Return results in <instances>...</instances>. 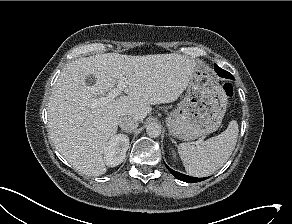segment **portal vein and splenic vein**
I'll return each mask as SVG.
<instances>
[{
  "mask_svg": "<svg viewBox=\"0 0 292 224\" xmlns=\"http://www.w3.org/2000/svg\"><path fill=\"white\" fill-rule=\"evenodd\" d=\"M127 84L126 80L124 78H121L119 82V86L117 88H114L108 92V95L106 97H100L92 100L93 106L100 104L101 102H110L113 101L122 91V89Z\"/></svg>",
  "mask_w": 292,
  "mask_h": 224,
  "instance_id": "obj_1",
  "label": "portal vein and splenic vein"
}]
</instances>
